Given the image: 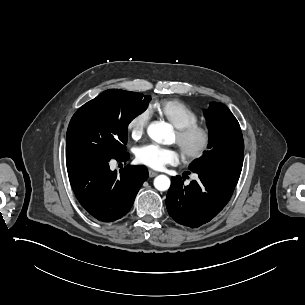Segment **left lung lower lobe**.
I'll use <instances>...</instances> for the list:
<instances>
[{"label":"left lung lower lobe","instance_id":"1","mask_svg":"<svg viewBox=\"0 0 305 305\" xmlns=\"http://www.w3.org/2000/svg\"><path fill=\"white\" fill-rule=\"evenodd\" d=\"M190 170L197 173L200 180H193L184 186L181 176L173 177L166 206L169 215L177 223L197 228L213 219L228 203L241 169L203 167Z\"/></svg>","mask_w":305,"mask_h":305}]
</instances>
